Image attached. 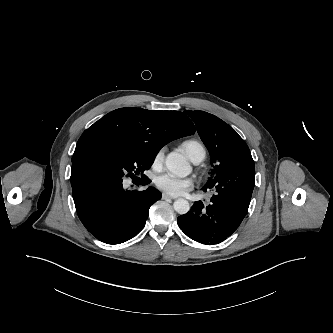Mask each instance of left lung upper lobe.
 Listing matches in <instances>:
<instances>
[{"instance_id": "obj_1", "label": "left lung upper lobe", "mask_w": 333, "mask_h": 333, "mask_svg": "<svg viewBox=\"0 0 333 333\" xmlns=\"http://www.w3.org/2000/svg\"><path fill=\"white\" fill-rule=\"evenodd\" d=\"M195 122L198 134L207 147L213 169L205 188L215 184L216 175L229 163L249 155L250 150L243 139L223 120L204 111H185ZM238 175H234L236 178Z\"/></svg>"}]
</instances>
